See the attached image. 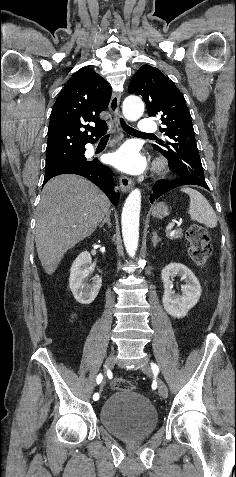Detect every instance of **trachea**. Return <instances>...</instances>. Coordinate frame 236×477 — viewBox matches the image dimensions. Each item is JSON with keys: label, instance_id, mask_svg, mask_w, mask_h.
<instances>
[{"label": "trachea", "instance_id": "1", "mask_svg": "<svg viewBox=\"0 0 236 477\" xmlns=\"http://www.w3.org/2000/svg\"><path fill=\"white\" fill-rule=\"evenodd\" d=\"M120 124H121L122 128L124 129V131L129 133V134H139V135L145 134V133H141L138 130H136V129L130 127L129 125H127L122 118L120 119ZM103 138H109V134L105 135Z\"/></svg>", "mask_w": 236, "mask_h": 477}]
</instances>
